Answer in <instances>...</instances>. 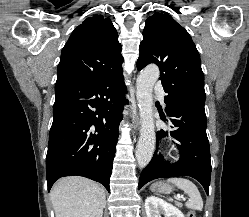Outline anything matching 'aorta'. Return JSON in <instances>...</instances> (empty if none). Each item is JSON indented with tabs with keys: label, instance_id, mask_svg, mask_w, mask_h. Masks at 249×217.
<instances>
[{
	"label": "aorta",
	"instance_id": "obj_1",
	"mask_svg": "<svg viewBox=\"0 0 249 217\" xmlns=\"http://www.w3.org/2000/svg\"><path fill=\"white\" fill-rule=\"evenodd\" d=\"M159 78L156 65L147 66L137 77L136 97L140 110L141 128L136 149V160L140 168L150 162L155 150V125L153 118V87Z\"/></svg>",
	"mask_w": 249,
	"mask_h": 217
}]
</instances>
